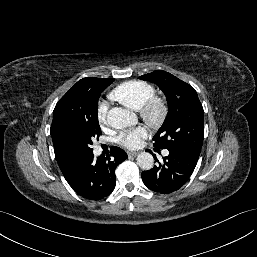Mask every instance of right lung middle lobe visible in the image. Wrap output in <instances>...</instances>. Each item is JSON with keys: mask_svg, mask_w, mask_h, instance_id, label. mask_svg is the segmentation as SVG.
<instances>
[{"mask_svg": "<svg viewBox=\"0 0 257 257\" xmlns=\"http://www.w3.org/2000/svg\"><path fill=\"white\" fill-rule=\"evenodd\" d=\"M110 84L85 85L61 98L64 113L51 128V134L63 149L80 158L93 153L92 140L101 135L98 99Z\"/></svg>", "mask_w": 257, "mask_h": 257, "instance_id": "right-lung-middle-lobe-1", "label": "right lung middle lobe"}]
</instances>
